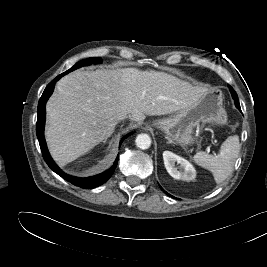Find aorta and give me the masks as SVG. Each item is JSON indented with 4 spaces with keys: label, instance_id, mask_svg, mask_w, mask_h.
I'll return each mask as SVG.
<instances>
[{
    "label": "aorta",
    "instance_id": "762f6f07",
    "mask_svg": "<svg viewBox=\"0 0 267 267\" xmlns=\"http://www.w3.org/2000/svg\"><path fill=\"white\" fill-rule=\"evenodd\" d=\"M135 143L140 149H148L151 146V138L148 134H139L136 137Z\"/></svg>",
    "mask_w": 267,
    "mask_h": 267
}]
</instances>
